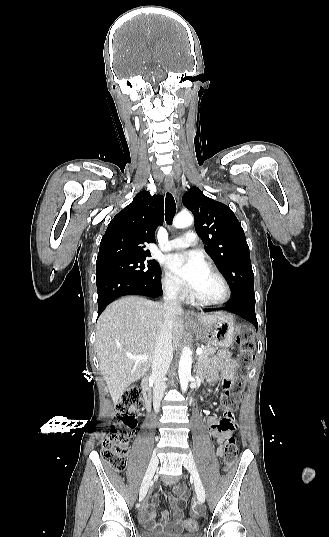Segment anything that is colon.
Returning a JSON list of instances; mask_svg holds the SVG:
<instances>
[{
	"mask_svg": "<svg viewBox=\"0 0 329 537\" xmlns=\"http://www.w3.org/2000/svg\"><path fill=\"white\" fill-rule=\"evenodd\" d=\"M240 354L238 356L239 368L237 376L232 382L231 390L223 392L221 412L224 416L219 428L226 434L224 443V462L229 469L235 462L238 446L232 432L236 428L233 411L237 408L241 394L246 387L247 375L254 360V336L250 329L243 330L239 335ZM141 390L133 387L125 391L116 405L115 418L110 426L109 434L103 442L101 456L103 460L116 470H123L133 429L137 425V413L140 409ZM184 526L189 531H195L198 522L188 518Z\"/></svg>",
	"mask_w": 329,
	"mask_h": 537,
	"instance_id": "obj_1",
	"label": "colon"
}]
</instances>
